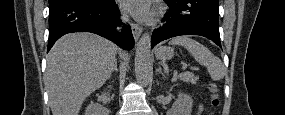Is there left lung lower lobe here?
I'll use <instances>...</instances> for the list:
<instances>
[{"label":"left lung lower lobe","instance_id":"1","mask_svg":"<svg viewBox=\"0 0 285 115\" xmlns=\"http://www.w3.org/2000/svg\"><path fill=\"white\" fill-rule=\"evenodd\" d=\"M169 6L163 26L152 33L151 47L180 35H200L221 47L219 0H164Z\"/></svg>","mask_w":285,"mask_h":115}]
</instances>
